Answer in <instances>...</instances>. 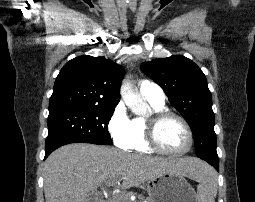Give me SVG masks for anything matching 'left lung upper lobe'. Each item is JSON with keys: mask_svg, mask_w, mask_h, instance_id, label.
Listing matches in <instances>:
<instances>
[{"mask_svg": "<svg viewBox=\"0 0 255 202\" xmlns=\"http://www.w3.org/2000/svg\"><path fill=\"white\" fill-rule=\"evenodd\" d=\"M141 69L163 88L171 104L189 123L197 156L218 162L212 97L201 69L181 55L144 62Z\"/></svg>", "mask_w": 255, "mask_h": 202, "instance_id": "obj_1", "label": "left lung upper lobe"}]
</instances>
